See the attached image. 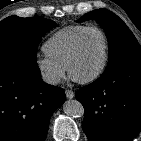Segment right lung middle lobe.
<instances>
[{"mask_svg": "<svg viewBox=\"0 0 141 141\" xmlns=\"http://www.w3.org/2000/svg\"><path fill=\"white\" fill-rule=\"evenodd\" d=\"M56 23L52 20L10 16L0 22V63L23 61L36 64L43 35Z\"/></svg>", "mask_w": 141, "mask_h": 141, "instance_id": "1", "label": "right lung middle lobe"}]
</instances>
